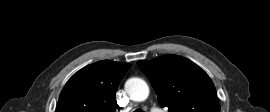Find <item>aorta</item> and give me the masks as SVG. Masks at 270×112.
Wrapping results in <instances>:
<instances>
[{
    "label": "aorta",
    "mask_w": 270,
    "mask_h": 112,
    "mask_svg": "<svg viewBox=\"0 0 270 112\" xmlns=\"http://www.w3.org/2000/svg\"><path fill=\"white\" fill-rule=\"evenodd\" d=\"M125 89L127 94L134 101H144L149 95L147 83L137 77L130 78L125 84Z\"/></svg>",
    "instance_id": "762f6f07"
}]
</instances>
